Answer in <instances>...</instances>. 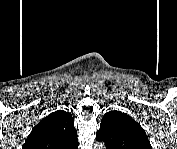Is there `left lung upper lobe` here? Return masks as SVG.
<instances>
[{
    "instance_id": "1",
    "label": "left lung upper lobe",
    "mask_w": 177,
    "mask_h": 149,
    "mask_svg": "<svg viewBox=\"0 0 177 149\" xmlns=\"http://www.w3.org/2000/svg\"><path fill=\"white\" fill-rule=\"evenodd\" d=\"M109 149H151L144 129L129 115L120 111L107 112L96 133Z\"/></svg>"
}]
</instances>
